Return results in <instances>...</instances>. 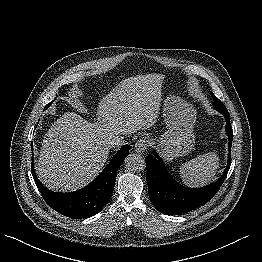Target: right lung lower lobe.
Segmentation results:
<instances>
[{"instance_id":"1","label":"right lung lower lobe","mask_w":262,"mask_h":262,"mask_svg":"<svg viewBox=\"0 0 262 262\" xmlns=\"http://www.w3.org/2000/svg\"><path fill=\"white\" fill-rule=\"evenodd\" d=\"M129 149V145L123 146L100 175L86 187L70 193H59L47 189L38 180L34 170L32 146V175L39 192L52 209L73 219L90 217L100 212L109 202L114 189L117 171L129 154Z\"/></svg>"}]
</instances>
